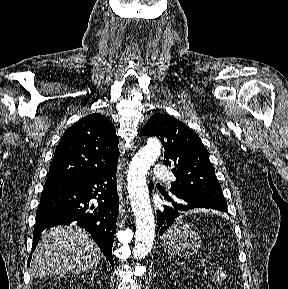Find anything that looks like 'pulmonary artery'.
<instances>
[{
	"instance_id": "1",
	"label": "pulmonary artery",
	"mask_w": 288,
	"mask_h": 289,
	"mask_svg": "<svg viewBox=\"0 0 288 289\" xmlns=\"http://www.w3.org/2000/svg\"><path fill=\"white\" fill-rule=\"evenodd\" d=\"M154 173L158 179H162V180H166V181H172L174 179L171 172L167 168H165L161 165H157L155 167Z\"/></svg>"
}]
</instances>
